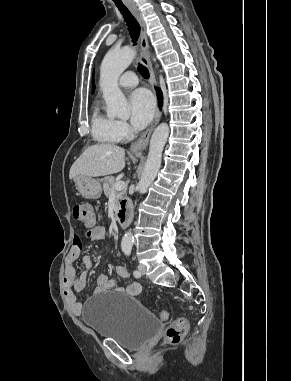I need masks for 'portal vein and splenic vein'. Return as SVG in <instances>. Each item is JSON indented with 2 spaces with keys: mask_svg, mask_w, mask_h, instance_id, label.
<instances>
[{
  "mask_svg": "<svg viewBox=\"0 0 291 381\" xmlns=\"http://www.w3.org/2000/svg\"><path fill=\"white\" fill-rule=\"evenodd\" d=\"M124 188H125V183H124V181H118V182H116L115 185H114V190H115V191H121V190H123Z\"/></svg>",
  "mask_w": 291,
  "mask_h": 381,
  "instance_id": "portal-vein-and-splenic-vein-1",
  "label": "portal vein and splenic vein"
}]
</instances>
